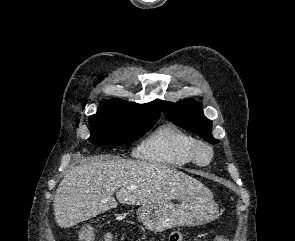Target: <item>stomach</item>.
<instances>
[{
	"label": "stomach",
	"instance_id": "1",
	"mask_svg": "<svg viewBox=\"0 0 295 241\" xmlns=\"http://www.w3.org/2000/svg\"><path fill=\"white\" fill-rule=\"evenodd\" d=\"M217 214L218 206L211 192L187 196L178 205L147 204L136 211L138 220L155 233L173 227L200 226L215 220Z\"/></svg>",
	"mask_w": 295,
	"mask_h": 241
}]
</instances>
